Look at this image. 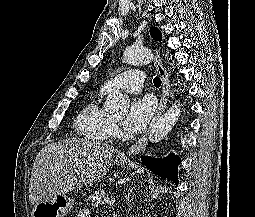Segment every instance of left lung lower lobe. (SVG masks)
Wrapping results in <instances>:
<instances>
[{
    "instance_id": "left-lung-lower-lobe-1",
    "label": "left lung lower lobe",
    "mask_w": 255,
    "mask_h": 217,
    "mask_svg": "<svg viewBox=\"0 0 255 217\" xmlns=\"http://www.w3.org/2000/svg\"><path fill=\"white\" fill-rule=\"evenodd\" d=\"M142 163L156 175L168 178L175 182L176 185L178 184L177 166L180 163L179 156L170 154L165 159L143 157Z\"/></svg>"
}]
</instances>
